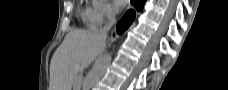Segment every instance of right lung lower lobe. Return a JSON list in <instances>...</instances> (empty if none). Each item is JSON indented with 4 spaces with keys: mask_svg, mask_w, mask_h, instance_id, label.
Instances as JSON below:
<instances>
[{
    "mask_svg": "<svg viewBox=\"0 0 228 90\" xmlns=\"http://www.w3.org/2000/svg\"><path fill=\"white\" fill-rule=\"evenodd\" d=\"M144 3L145 0H131V4H133L138 11H141L143 9ZM134 18L135 12L132 10H128L117 24V33L121 34L124 30H126L133 22Z\"/></svg>",
    "mask_w": 228,
    "mask_h": 90,
    "instance_id": "1",
    "label": "right lung lower lobe"
}]
</instances>
